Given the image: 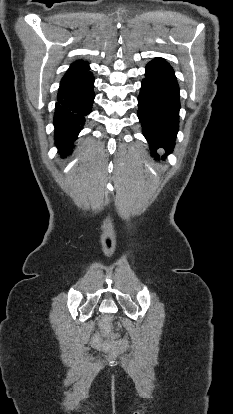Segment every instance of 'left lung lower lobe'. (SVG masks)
<instances>
[{
    "label": "left lung lower lobe",
    "mask_w": 233,
    "mask_h": 414,
    "mask_svg": "<svg viewBox=\"0 0 233 414\" xmlns=\"http://www.w3.org/2000/svg\"><path fill=\"white\" fill-rule=\"evenodd\" d=\"M138 97V117L152 156L159 158L157 149L173 151L179 129V85L173 68L156 58L146 66Z\"/></svg>",
    "instance_id": "left-lung-lower-lobe-1"
}]
</instances>
